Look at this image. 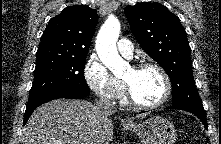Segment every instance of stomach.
Returning a JSON list of instances; mask_svg holds the SVG:
<instances>
[{"label":"stomach","instance_id":"1","mask_svg":"<svg viewBox=\"0 0 221 144\" xmlns=\"http://www.w3.org/2000/svg\"><path fill=\"white\" fill-rule=\"evenodd\" d=\"M124 128L137 134L142 144H174L177 137L174 125L159 115L142 123L127 124Z\"/></svg>","mask_w":221,"mask_h":144}]
</instances>
